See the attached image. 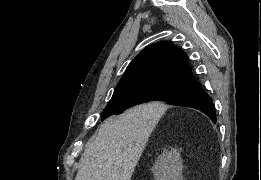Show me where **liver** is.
Instances as JSON below:
<instances>
[{
  "label": "liver",
  "mask_w": 261,
  "mask_h": 180,
  "mask_svg": "<svg viewBox=\"0 0 261 180\" xmlns=\"http://www.w3.org/2000/svg\"><path fill=\"white\" fill-rule=\"evenodd\" d=\"M161 104L151 102L107 118L79 160L75 180H131Z\"/></svg>",
  "instance_id": "6515ba94"
}]
</instances>
